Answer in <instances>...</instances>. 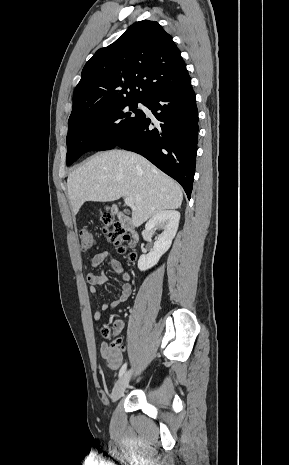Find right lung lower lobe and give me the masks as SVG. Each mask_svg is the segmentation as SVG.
<instances>
[{
  "instance_id": "1",
  "label": "right lung lower lobe",
  "mask_w": 289,
  "mask_h": 465,
  "mask_svg": "<svg viewBox=\"0 0 289 465\" xmlns=\"http://www.w3.org/2000/svg\"><path fill=\"white\" fill-rule=\"evenodd\" d=\"M144 105L155 118L144 114L116 146L147 158L179 182L190 199L198 142V111L191 81L150 96Z\"/></svg>"
}]
</instances>
